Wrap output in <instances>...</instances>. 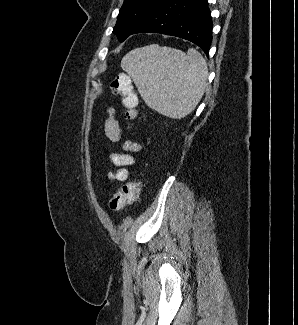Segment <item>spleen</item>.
<instances>
[{"mask_svg":"<svg viewBox=\"0 0 298 325\" xmlns=\"http://www.w3.org/2000/svg\"><path fill=\"white\" fill-rule=\"evenodd\" d=\"M121 66L147 106L169 118L190 114L204 94L207 62L195 48L148 44L127 52Z\"/></svg>","mask_w":298,"mask_h":325,"instance_id":"1","label":"spleen"}]
</instances>
